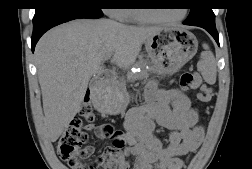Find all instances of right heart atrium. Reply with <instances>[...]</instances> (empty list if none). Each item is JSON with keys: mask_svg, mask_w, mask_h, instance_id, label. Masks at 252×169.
<instances>
[{"mask_svg": "<svg viewBox=\"0 0 252 169\" xmlns=\"http://www.w3.org/2000/svg\"><path fill=\"white\" fill-rule=\"evenodd\" d=\"M125 10L121 8H115V9H106L107 14L116 20H124L125 18Z\"/></svg>", "mask_w": 252, "mask_h": 169, "instance_id": "1", "label": "right heart atrium"}]
</instances>
